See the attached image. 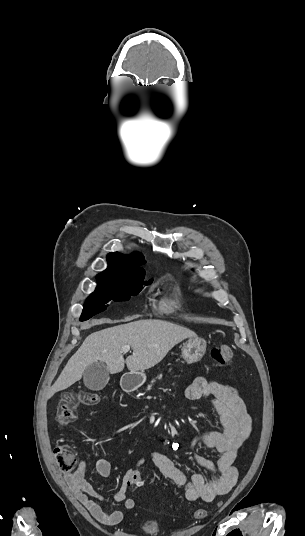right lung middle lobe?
<instances>
[{"mask_svg":"<svg viewBox=\"0 0 305 536\" xmlns=\"http://www.w3.org/2000/svg\"><path fill=\"white\" fill-rule=\"evenodd\" d=\"M95 291L88 296L84 304L80 320L84 321L108 307L110 301H126L131 296L137 295L143 285H150L152 281L144 282V279L127 281H100L97 280Z\"/></svg>","mask_w":305,"mask_h":536,"instance_id":"obj_1","label":"right lung middle lobe"}]
</instances>
